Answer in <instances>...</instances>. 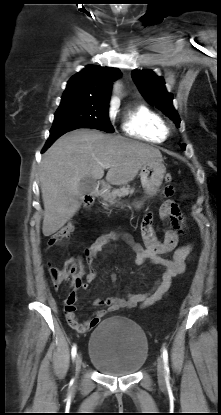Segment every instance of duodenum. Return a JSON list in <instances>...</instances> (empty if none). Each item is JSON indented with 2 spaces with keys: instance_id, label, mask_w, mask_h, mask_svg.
Listing matches in <instances>:
<instances>
[{
  "instance_id": "duodenum-1",
  "label": "duodenum",
  "mask_w": 221,
  "mask_h": 415,
  "mask_svg": "<svg viewBox=\"0 0 221 415\" xmlns=\"http://www.w3.org/2000/svg\"><path fill=\"white\" fill-rule=\"evenodd\" d=\"M104 189L105 186L102 182L97 183L92 192L85 198V205L87 208H90L93 205L95 199L103 194Z\"/></svg>"
}]
</instances>
